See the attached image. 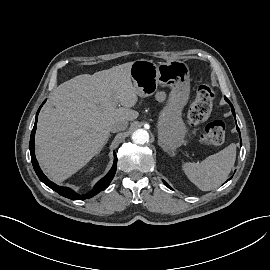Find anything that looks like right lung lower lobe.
<instances>
[{"label":"right lung lower lobe","instance_id":"obj_1","mask_svg":"<svg viewBox=\"0 0 270 270\" xmlns=\"http://www.w3.org/2000/svg\"><path fill=\"white\" fill-rule=\"evenodd\" d=\"M46 101V100H45ZM44 101V102H45ZM44 102L42 103V105L44 104ZM42 105L40 106V108L37 111L36 114V120H35V124L31 133V137H30V154H31V161H32V165L34 167V170L36 172V174L38 175L39 179L46 184L48 187H50L51 189H53L54 191H56L57 193H59L60 195L67 197L69 199L72 200H84V199H88L93 197L94 195L98 194L100 191H103L105 188L108 187V185L110 184L111 180L113 179L115 172H116V167H117V156L116 154H114V163L113 166L111 168V170L107 173V175L102 178L94 187V189L84 195H79L77 193H75L73 190H71L68 187H61L58 186L56 184H54L53 182H51L41 171L38 162L36 160L35 157V142H34V136H35V131H36V126H37V120H38V113L42 107Z\"/></svg>","mask_w":270,"mask_h":270}]
</instances>
